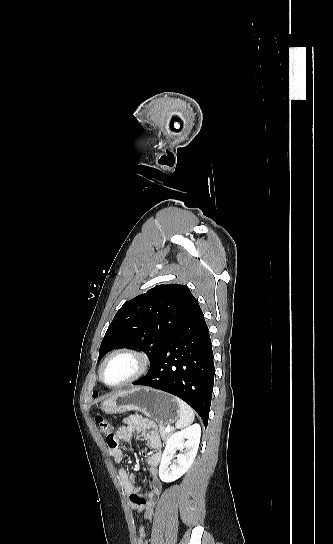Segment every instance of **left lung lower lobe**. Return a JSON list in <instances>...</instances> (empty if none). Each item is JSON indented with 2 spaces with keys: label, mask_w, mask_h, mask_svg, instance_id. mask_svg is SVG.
Instances as JSON below:
<instances>
[{
  "label": "left lung lower lobe",
  "mask_w": 333,
  "mask_h": 544,
  "mask_svg": "<svg viewBox=\"0 0 333 544\" xmlns=\"http://www.w3.org/2000/svg\"><path fill=\"white\" fill-rule=\"evenodd\" d=\"M214 373L209 330L197 302L164 344L147 375L133 384L181 398L200 415L206 427Z\"/></svg>",
  "instance_id": "obj_1"
}]
</instances>
